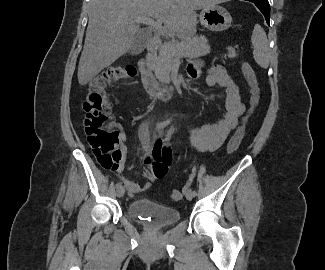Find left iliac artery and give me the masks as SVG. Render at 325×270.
<instances>
[{
  "mask_svg": "<svg viewBox=\"0 0 325 270\" xmlns=\"http://www.w3.org/2000/svg\"><path fill=\"white\" fill-rule=\"evenodd\" d=\"M174 132V128H171L168 132H167V135H166V141H169L170 138H171V135L173 134ZM193 192V195L196 196L197 195V192L195 190L192 191Z\"/></svg>",
  "mask_w": 325,
  "mask_h": 270,
  "instance_id": "left-iliac-artery-1",
  "label": "left iliac artery"
}]
</instances>
